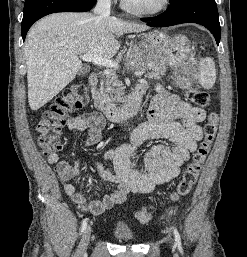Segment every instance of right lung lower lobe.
<instances>
[{
	"label": "right lung lower lobe",
	"mask_w": 247,
	"mask_h": 257,
	"mask_svg": "<svg viewBox=\"0 0 247 257\" xmlns=\"http://www.w3.org/2000/svg\"><path fill=\"white\" fill-rule=\"evenodd\" d=\"M96 0H26L21 23V34L25 40L29 28L38 19L55 12H85Z\"/></svg>",
	"instance_id": "right-lung-lower-lobe-1"
}]
</instances>
